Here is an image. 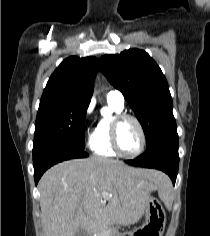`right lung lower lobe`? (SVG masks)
I'll list each match as a JSON object with an SVG mask.
<instances>
[{
    "label": "right lung lower lobe",
    "instance_id": "1",
    "mask_svg": "<svg viewBox=\"0 0 210 236\" xmlns=\"http://www.w3.org/2000/svg\"><path fill=\"white\" fill-rule=\"evenodd\" d=\"M88 154L84 149L66 143L45 142L33 147L34 178L37 185L42 174L54 164L74 159L84 158Z\"/></svg>",
    "mask_w": 210,
    "mask_h": 236
}]
</instances>
